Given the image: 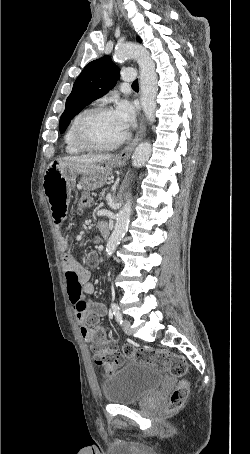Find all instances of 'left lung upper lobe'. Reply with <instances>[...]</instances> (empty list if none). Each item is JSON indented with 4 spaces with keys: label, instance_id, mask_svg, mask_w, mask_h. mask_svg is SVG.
<instances>
[{
    "label": "left lung upper lobe",
    "instance_id": "obj_1",
    "mask_svg": "<svg viewBox=\"0 0 250 454\" xmlns=\"http://www.w3.org/2000/svg\"><path fill=\"white\" fill-rule=\"evenodd\" d=\"M137 40L141 42L140 38ZM119 71L107 55L85 66L66 100L65 110L60 118V133L66 130L71 119L84 107L115 86Z\"/></svg>",
    "mask_w": 250,
    "mask_h": 454
}]
</instances>
